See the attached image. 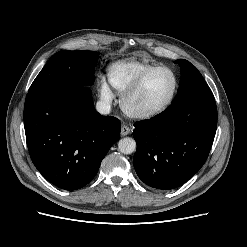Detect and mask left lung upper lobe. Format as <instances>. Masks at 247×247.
Wrapping results in <instances>:
<instances>
[{
	"label": "left lung upper lobe",
	"instance_id": "left-lung-upper-lobe-1",
	"mask_svg": "<svg viewBox=\"0 0 247 247\" xmlns=\"http://www.w3.org/2000/svg\"><path fill=\"white\" fill-rule=\"evenodd\" d=\"M181 69V79L177 96L174 101L193 94H212L209 86L197 68L184 59L176 60Z\"/></svg>",
	"mask_w": 247,
	"mask_h": 247
}]
</instances>
